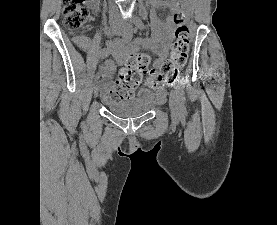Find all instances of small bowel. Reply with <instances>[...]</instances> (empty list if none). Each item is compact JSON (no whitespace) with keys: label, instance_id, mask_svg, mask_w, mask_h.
Instances as JSON below:
<instances>
[{"label":"small bowel","instance_id":"obj_1","mask_svg":"<svg viewBox=\"0 0 277 225\" xmlns=\"http://www.w3.org/2000/svg\"><path fill=\"white\" fill-rule=\"evenodd\" d=\"M150 2L153 7V11L151 12V28L153 36L151 39H138L131 42L129 44V49H143L155 55L156 59L154 67L158 68L166 59L168 45L173 38V24L171 16L163 22L157 18L155 12L166 5L176 8L177 4L174 0H150ZM89 6L94 9L98 8V1L89 0ZM127 50L128 49L124 47V42L115 40L113 42H107L105 49L97 52V59H105L109 56H112L115 59H107L95 76V80L103 88L109 85L116 70V62L121 63L125 59ZM147 85L153 88V80L148 79ZM155 93L157 100L159 101L164 99L166 91L163 88H155Z\"/></svg>","mask_w":277,"mask_h":225}]
</instances>
